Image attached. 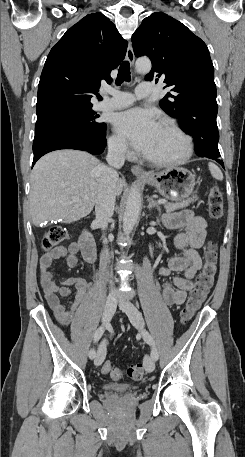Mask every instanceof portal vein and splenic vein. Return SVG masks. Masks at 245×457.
<instances>
[{
	"label": "portal vein and splenic vein",
	"mask_w": 245,
	"mask_h": 457,
	"mask_svg": "<svg viewBox=\"0 0 245 457\" xmlns=\"http://www.w3.org/2000/svg\"><path fill=\"white\" fill-rule=\"evenodd\" d=\"M74 202L75 200H77V198H73ZM159 204H161V202H167V200H165V198H159L158 200Z\"/></svg>",
	"instance_id": "portal-vein-and-splenic-vein-1"
}]
</instances>
